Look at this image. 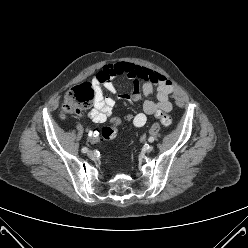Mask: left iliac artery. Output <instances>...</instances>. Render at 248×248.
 <instances>
[{"label": "left iliac artery", "instance_id": "obj_1", "mask_svg": "<svg viewBox=\"0 0 248 248\" xmlns=\"http://www.w3.org/2000/svg\"><path fill=\"white\" fill-rule=\"evenodd\" d=\"M148 141H149V142H153V141H154V137H152V136L149 137Z\"/></svg>", "mask_w": 248, "mask_h": 248}]
</instances>
